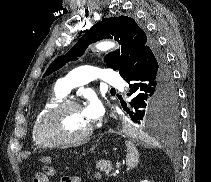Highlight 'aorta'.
<instances>
[{
  "label": "aorta",
  "mask_w": 211,
  "mask_h": 182,
  "mask_svg": "<svg viewBox=\"0 0 211 182\" xmlns=\"http://www.w3.org/2000/svg\"><path fill=\"white\" fill-rule=\"evenodd\" d=\"M115 47V43L112 41H101L96 44V48L100 51H107Z\"/></svg>",
  "instance_id": "762f6f07"
}]
</instances>
